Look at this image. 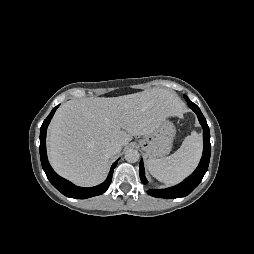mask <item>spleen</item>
<instances>
[{"label":"spleen","instance_id":"1","mask_svg":"<svg viewBox=\"0 0 254 254\" xmlns=\"http://www.w3.org/2000/svg\"><path fill=\"white\" fill-rule=\"evenodd\" d=\"M201 154V136L193 131L171 156L148 159L147 168L150 174L160 182L174 185L193 172L199 163Z\"/></svg>","mask_w":254,"mask_h":254}]
</instances>
